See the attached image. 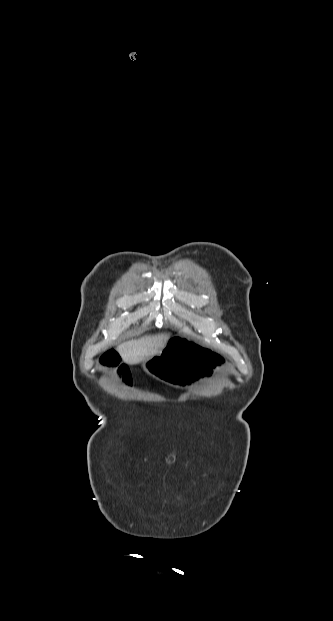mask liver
<instances>
[{
    "label": "liver",
    "instance_id": "1",
    "mask_svg": "<svg viewBox=\"0 0 333 621\" xmlns=\"http://www.w3.org/2000/svg\"><path fill=\"white\" fill-rule=\"evenodd\" d=\"M169 334L145 335L138 339L124 342L118 346V352L126 364L136 365L157 354L164 347Z\"/></svg>",
    "mask_w": 333,
    "mask_h": 621
}]
</instances>
